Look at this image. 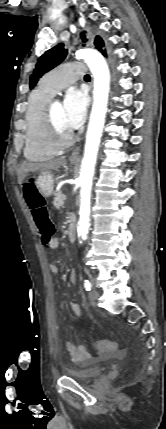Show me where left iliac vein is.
Masks as SVG:
<instances>
[{
	"label": "left iliac vein",
	"instance_id": "4c4485c4",
	"mask_svg": "<svg viewBox=\"0 0 166 429\" xmlns=\"http://www.w3.org/2000/svg\"><path fill=\"white\" fill-rule=\"evenodd\" d=\"M98 298H99V292L97 290L93 289L89 292V299L92 304H95Z\"/></svg>",
	"mask_w": 166,
	"mask_h": 429
}]
</instances>
